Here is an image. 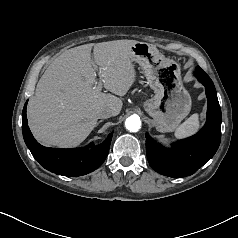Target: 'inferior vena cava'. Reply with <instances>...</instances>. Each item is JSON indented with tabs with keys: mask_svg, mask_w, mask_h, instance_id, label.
I'll return each mask as SVG.
<instances>
[{
	"mask_svg": "<svg viewBox=\"0 0 238 238\" xmlns=\"http://www.w3.org/2000/svg\"><path fill=\"white\" fill-rule=\"evenodd\" d=\"M99 118H109L113 116V110L109 107H103L98 111Z\"/></svg>",
	"mask_w": 238,
	"mask_h": 238,
	"instance_id": "inferior-vena-cava-1",
	"label": "inferior vena cava"
}]
</instances>
